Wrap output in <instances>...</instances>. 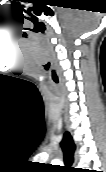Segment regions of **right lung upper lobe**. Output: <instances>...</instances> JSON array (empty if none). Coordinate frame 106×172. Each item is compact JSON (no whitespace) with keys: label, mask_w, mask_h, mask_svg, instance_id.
Wrapping results in <instances>:
<instances>
[{"label":"right lung upper lobe","mask_w":106,"mask_h":172,"mask_svg":"<svg viewBox=\"0 0 106 172\" xmlns=\"http://www.w3.org/2000/svg\"><path fill=\"white\" fill-rule=\"evenodd\" d=\"M61 147L64 152L65 164L67 165L68 171H75L73 167H70L74 162L75 145L69 132L64 134L61 142Z\"/></svg>","instance_id":"1"}]
</instances>
